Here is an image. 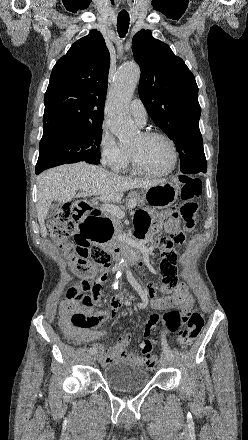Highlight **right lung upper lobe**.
Segmentation results:
<instances>
[{
    "label": "right lung upper lobe",
    "instance_id": "obj_1",
    "mask_svg": "<svg viewBox=\"0 0 248 440\" xmlns=\"http://www.w3.org/2000/svg\"><path fill=\"white\" fill-rule=\"evenodd\" d=\"M109 67L110 54L97 30L71 46L51 73L43 137L102 124Z\"/></svg>",
    "mask_w": 248,
    "mask_h": 440
}]
</instances>
